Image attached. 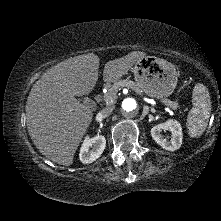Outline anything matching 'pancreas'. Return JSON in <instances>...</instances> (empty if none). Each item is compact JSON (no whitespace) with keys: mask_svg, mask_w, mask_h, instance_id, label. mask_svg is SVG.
Returning <instances> with one entry per match:
<instances>
[{"mask_svg":"<svg viewBox=\"0 0 221 221\" xmlns=\"http://www.w3.org/2000/svg\"><path fill=\"white\" fill-rule=\"evenodd\" d=\"M121 86H127L129 88L135 89L138 93L142 92V90L139 88V86L135 82L131 80H121L119 82H116L114 85L107 86L108 92L103 97L105 101L114 103L118 88ZM163 101H165L169 105V107L172 109H177L179 107L178 104L174 101H171L168 99H164Z\"/></svg>","mask_w":221,"mask_h":221,"instance_id":"cf45deb5","label":"pancreas"}]
</instances>
